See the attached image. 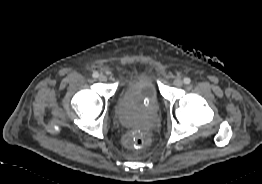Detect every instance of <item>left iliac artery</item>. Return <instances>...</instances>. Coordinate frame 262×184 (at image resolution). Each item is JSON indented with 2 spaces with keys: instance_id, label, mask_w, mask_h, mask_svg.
<instances>
[{
  "instance_id": "1",
  "label": "left iliac artery",
  "mask_w": 262,
  "mask_h": 184,
  "mask_svg": "<svg viewBox=\"0 0 262 184\" xmlns=\"http://www.w3.org/2000/svg\"><path fill=\"white\" fill-rule=\"evenodd\" d=\"M184 83L185 84H190V82H191V79L190 78H188V77H186V78H184Z\"/></svg>"
}]
</instances>
